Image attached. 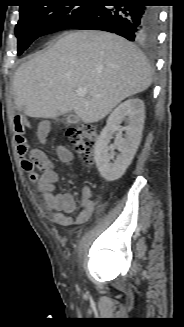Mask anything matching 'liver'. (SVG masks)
<instances>
[{"label": "liver", "mask_w": 184, "mask_h": 327, "mask_svg": "<svg viewBox=\"0 0 184 327\" xmlns=\"http://www.w3.org/2000/svg\"><path fill=\"white\" fill-rule=\"evenodd\" d=\"M151 83L152 69L134 44L112 33L77 31L23 63L13 87L17 110L29 117L54 119L74 111L95 123ZM79 88L86 95L78 96Z\"/></svg>", "instance_id": "1"}]
</instances>
